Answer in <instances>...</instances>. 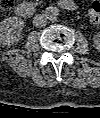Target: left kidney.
I'll return each mask as SVG.
<instances>
[{
    "label": "left kidney",
    "mask_w": 100,
    "mask_h": 118,
    "mask_svg": "<svg viewBox=\"0 0 100 118\" xmlns=\"http://www.w3.org/2000/svg\"><path fill=\"white\" fill-rule=\"evenodd\" d=\"M94 42L96 45L99 44V34H96L95 37H94Z\"/></svg>",
    "instance_id": "obj_1"
}]
</instances>
